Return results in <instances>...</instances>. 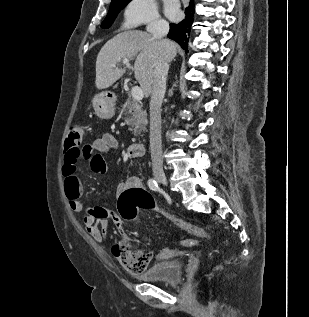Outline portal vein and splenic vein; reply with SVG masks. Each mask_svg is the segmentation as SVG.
Masks as SVG:
<instances>
[{
  "label": "portal vein and splenic vein",
  "instance_id": "18ae733b",
  "mask_svg": "<svg viewBox=\"0 0 309 317\" xmlns=\"http://www.w3.org/2000/svg\"><path fill=\"white\" fill-rule=\"evenodd\" d=\"M122 62H123V64H125L128 68H130V64H129V60H128V59H124ZM131 95H132L133 99H135V100H137V101L142 100L143 97H144L143 90H142L140 87H138V86L132 87Z\"/></svg>",
  "mask_w": 309,
  "mask_h": 317
}]
</instances>
